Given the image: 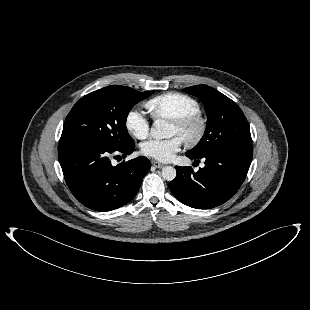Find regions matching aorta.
Wrapping results in <instances>:
<instances>
[{"label":"aorta","instance_id":"obj_1","mask_svg":"<svg viewBox=\"0 0 310 310\" xmlns=\"http://www.w3.org/2000/svg\"><path fill=\"white\" fill-rule=\"evenodd\" d=\"M150 135L157 140L170 137L169 124L163 119H157L154 121ZM162 177L164 180L172 181L176 177V169L172 166H165L162 168Z\"/></svg>","mask_w":310,"mask_h":310}]
</instances>
